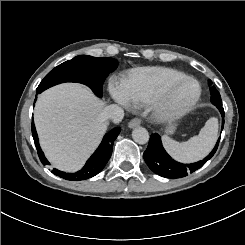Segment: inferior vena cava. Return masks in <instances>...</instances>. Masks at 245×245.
I'll return each instance as SVG.
<instances>
[{
    "label": "inferior vena cava",
    "instance_id": "inferior-vena-cava-1",
    "mask_svg": "<svg viewBox=\"0 0 245 245\" xmlns=\"http://www.w3.org/2000/svg\"><path fill=\"white\" fill-rule=\"evenodd\" d=\"M124 116V110L117 104L106 106L103 111L99 114V120L101 121H121Z\"/></svg>",
    "mask_w": 245,
    "mask_h": 245
}]
</instances>
